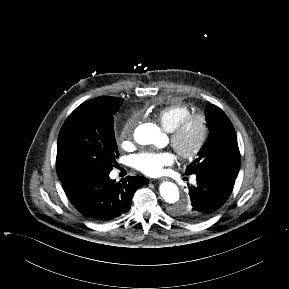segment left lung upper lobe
I'll use <instances>...</instances> for the list:
<instances>
[{"mask_svg":"<svg viewBox=\"0 0 289 289\" xmlns=\"http://www.w3.org/2000/svg\"><path fill=\"white\" fill-rule=\"evenodd\" d=\"M206 120L210 128L209 137L199 151L198 158L187 167L186 174L221 172L236 178L240 167V153L231 121L216 105H208ZM174 213L181 215L183 211ZM181 216L188 218L187 214Z\"/></svg>","mask_w":289,"mask_h":289,"instance_id":"left-lung-upper-lobe-1","label":"left lung upper lobe"}]
</instances>
